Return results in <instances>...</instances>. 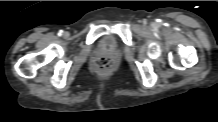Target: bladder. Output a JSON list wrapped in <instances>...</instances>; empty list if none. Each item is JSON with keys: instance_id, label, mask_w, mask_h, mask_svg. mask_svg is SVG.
<instances>
[{"instance_id": "31cf9c89", "label": "bladder", "mask_w": 218, "mask_h": 122, "mask_svg": "<svg viewBox=\"0 0 218 122\" xmlns=\"http://www.w3.org/2000/svg\"><path fill=\"white\" fill-rule=\"evenodd\" d=\"M102 47L111 48L114 46V40L112 37H105L101 41Z\"/></svg>"}]
</instances>
